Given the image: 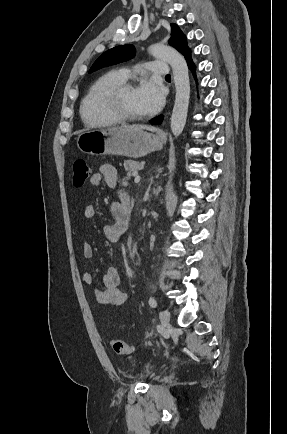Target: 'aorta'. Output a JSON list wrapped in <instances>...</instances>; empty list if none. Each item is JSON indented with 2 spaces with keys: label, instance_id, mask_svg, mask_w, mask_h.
<instances>
[{
  "label": "aorta",
  "instance_id": "aorta-1",
  "mask_svg": "<svg viewBox=\"0 0 287 434\" xmlns=\"http://www.w3.org/2000/svg\"><path fill=\"white\" fill-rule=\"evenodd\" d=\"M150 53L169 63L173 71L176 96L170 126L173 135L177 137L183 132L188 113L190 99L188 66L184 57L171 47L154 44L150 48Z\"/></svg>",
  "mask_w": 287,
  "mask_h": 434
}]
</instances>
